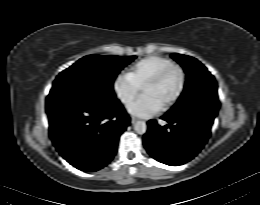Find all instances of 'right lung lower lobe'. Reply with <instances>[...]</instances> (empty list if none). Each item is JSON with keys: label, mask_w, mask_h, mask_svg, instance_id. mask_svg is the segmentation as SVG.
Listing matches in <instances>:
<instances>
[{"label": "right lung lower lobe", "mask_w": 260, "mask_h": 205, "mask_svg": "<svg viewBox=\"0 0 260 205\" xmlns=\"http://www.w3.org/2000/svg\"><path fill=\"white\" fill-rule=\"evenodd\" d=\"M50 137L60 155L86 172L106 166L130 123L118 100L107 102L69 88L52 89L47 101Z\"/></svg>", "instance_id": "obj_1"}]
</instances>
